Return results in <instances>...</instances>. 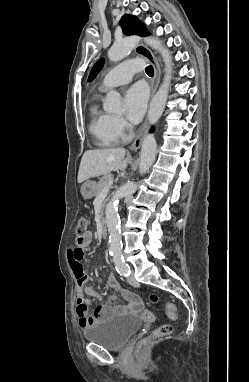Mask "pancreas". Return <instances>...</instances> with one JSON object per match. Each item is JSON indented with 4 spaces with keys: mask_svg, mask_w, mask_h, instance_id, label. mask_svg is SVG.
I'll return each instance as SVG.
<instances>
[{
    "mask_svg": "<svg viewBox=\"0 0 249 382\" xmlns=\"http://www.w3.org/2000/svg\"><path fill=\"white\" fill-rule=\"evenodd\" d=\"M109 181H113V175L111 173L105 174L97 183L96 195L107 186Z\"/></svg>",
    "mask_w": 249,
    "mask_h": 382,
    "instance_id": "pancreas-1",
    "label": "pancreas"
}]
</instances>
